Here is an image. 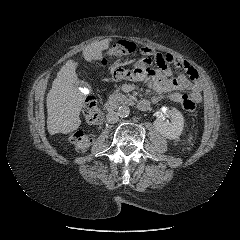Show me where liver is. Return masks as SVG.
<instances>
[{
    "label": "liver",
    "instance_id": "obj_1",
    "mask_svg": "<svg viewBox=\"0 0 240 240\" xmlns=\"http://www.w3.org/2000/svg\"><path fill=\"white\" fill-rule=\"evenodd\" d=\"M109 48V40L94 42L82 51L87 62L100 60L103 51ZM77 63L68 60L57 73L52 88L47 95V129L50 135L67 134L81 125L80 111L84 106L85 96L79 90L76 73Z\"/></svg>",
    "mask_w": 240,
    "mask_h": 240
}]
</instances>
